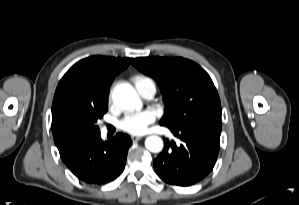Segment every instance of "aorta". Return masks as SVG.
Returning <instances> with one entry per match:
<instances>
[{"mask_svg": "<svg viewBox=\"0 0 299 205\" xmlns=\"http://www.w3.org/2000/svg\"><path fill=\"white\" fill-rule=\"evenodd\" d=\"M113 101L120 108L133 110L142 106L136 91L129 84L117 86L112 93ZM146 148L151 152H159L162 150L163 141L158 136H150L145 141Z\"/></svg>", "mask_w": 299, "mask_h": 205, "instance_id": "1", "label": "aorta"}]
</instances>
